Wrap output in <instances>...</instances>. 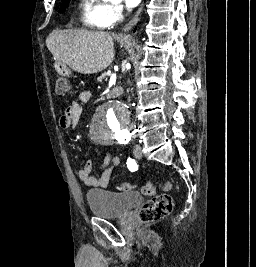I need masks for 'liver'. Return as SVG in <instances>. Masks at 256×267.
<instances>
[{
    "mask_svg": "<svg viewBox=\"0 0 256 267\" xmlns=\"http://www.w3.org/2000/svg\"><path fill=\"white\" fill-rule=\"evenodd\" d=\"M114 38L128 42L129 38L111 36L109 32L90 30H53L46 46L53 58L79 74H97L106 70L115 58Z\"/></svg>",
    "mask_w": 256,
    "mask_h": 267,
    "instance_id": "6515ba94",
    "label": "liver"
}]
</instances>
